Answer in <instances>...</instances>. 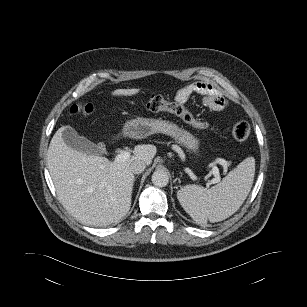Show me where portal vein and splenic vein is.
Listing matches in <instances>:
<instances>
[{"label": "portal vein and splenic vein", "instance_id": "1", "mask_svg": "<svg viewBox=\"0 0 307 307\" xmlns=\"http://www.w3.org/2000/svg\"><path fill=\"white\" fill-rule=\"evenodd\" d=\"M130 158V153L128 151H120L114 158V162H123ZM220 164L227 165L226 161L223 159H220ZM213 175L215 178L208 181L207 186H210L212 184L218 183L220 181V175H219V169L216 166H213L211 169Z\"/></svg>", "mask_w": 307, "mask_h": 307}]
</instances>
